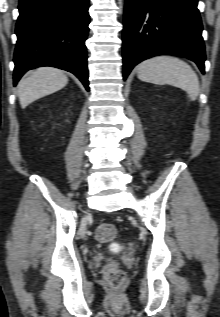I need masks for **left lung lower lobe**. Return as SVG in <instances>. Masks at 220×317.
Segmentation results:
<instances>
[{
	"label": "left lung lower lobe",
	"mask_w": 220,
	"mask_h": 317,
	"mask_svg": "<svg viewBox=\"0 0 220 317\" xmlns=\"http://www.w3.org/2000/svg\"><path fill=\"white\" fill-rule=\"evenodd\" d=\"M198 0H126L124 79L139 62L158 54L194 61L204 73L205 47Z\"/></svg>",
	"instance_id": "obj_1"
}]
</instances>
